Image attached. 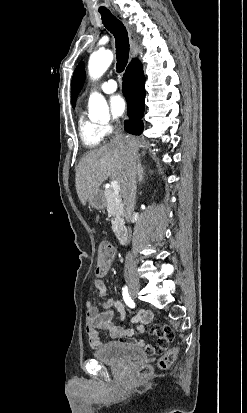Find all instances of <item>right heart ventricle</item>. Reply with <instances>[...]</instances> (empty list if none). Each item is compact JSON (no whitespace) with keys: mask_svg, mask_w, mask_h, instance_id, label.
<instances>
[{"mask_svg":"<svg viewBox=\"0 0 247 413\" xmlns=\"http://www.w3.org/2000/svg\"><path fill=\"white\" fill-rule=\"evenodd\" d=\"M79 134L83 144L90 149H93L94 145H100L104 137V133L99 126L88 121L80 122Z\"/></svg>","mask_w":247,"mask_h":413,"instance_id":"e07e8e85","label":"right heart ventricle"}]
</instances>
